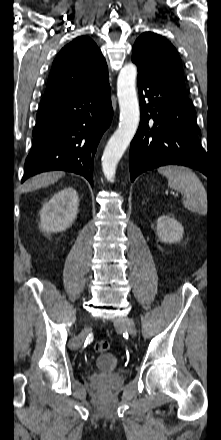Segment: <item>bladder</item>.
<instances>
[{
  "label": "bladder",
  "instance_id": "obj_1",
  "mask_svg": "<svg viewBox=\"0 0 221 440\" xmlns=\"http://www.w3.org/2000/svg\"><path fill=\"white\" fill-rule=\"evenodd\" d=\"M96 368L101 370H111L118 366V358L111 353H103L96 357L94 362Z\"/></svg>",
  "mask_w": 221,
  "mask_h": 440
}]
</instances>
